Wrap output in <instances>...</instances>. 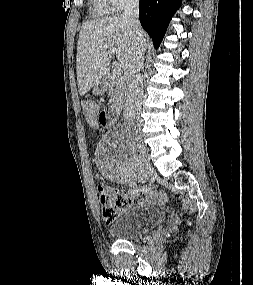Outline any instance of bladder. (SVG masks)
Returning <instances> with one entry per match:
<instances>
[{
	"mask_svg": "<svg viewBox=\"0 0 253 285\" xmlns=\"http://www.w3.org/2000/svg\"><path fill=\"white\" fill-rule=\"evenodd\" d=\"M164 215L157 208L131 205L109 225V234L118 240H133L157 228Z\"/></svg>",
	"mask_w": 253,
	"mask_h": 285,
	"instance_id": "obj_1",
	"label": "bladder"
}]
</instances>
